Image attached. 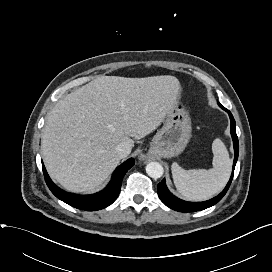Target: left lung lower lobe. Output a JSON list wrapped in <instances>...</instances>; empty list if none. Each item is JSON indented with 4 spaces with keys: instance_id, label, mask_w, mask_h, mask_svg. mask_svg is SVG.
I'll list each match as a JSON object with an SVG mask.
<instances>
[{
    "instance_id": "left-lung-lower-lobe-1",
    "label": "left lung lower lobe",
    "mask_w": 272,
    "mask_h": 272,
    "mask_svg": "<svg viewBox=\"0 0 272 272\" xmlns=\"http://www.w3.org/2000/svg\"><path fill=\"white\" fill-rule=\"evenodd\" d=\"M218 105L225 111L228 112L230 120H231V135L233 139V145H234V151H235V156H234V162H233V171L232 175L230 177L229 182L227 183V186L225 189L217 196L212 198L211 200L205 201V202H186L183 201L177 197H175L167 188L165 179H163L159 184H158V195L159 198L162 200V202L168 206L169 208L179 211V212H194V211H200L204 210L206 208H209L216 203H218L223 196L226 194L232 178H233V173H234V168L238 159V153H239V143H238V137L236 135V123L233 118V115L231 114L230 111H228L225 107H223L219 102Z\"/></svg>"
}]
</instances>
